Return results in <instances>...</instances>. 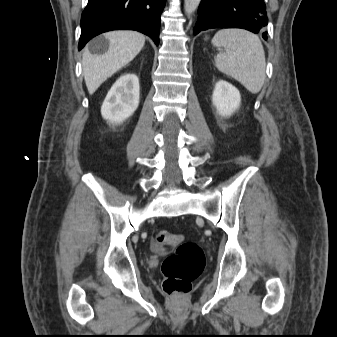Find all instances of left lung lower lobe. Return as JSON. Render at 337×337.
Wrapping results in <instances>:
<instances>
[{"label": "left lung lower lobe", "mask_w": 337, "mask_h": 337, "mask_svg": "<svg viewBox=\"0 0 337 337\" xmlns=\"http://www.w3.org/2000/svg\"><path fill=\"white\" fill-rule=\"evenodd\" d=\"M263 0H201L194 34L210 28H242L254 33L268 24ZM267 40V33H263Z\"/></svg>", "instance_id": "0a47b994"}]
</instances>
